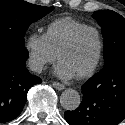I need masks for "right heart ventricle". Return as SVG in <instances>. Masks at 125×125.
<instances>
[{
  "mask_svg": "<svg viewBox=\"0 0 125 125\" xmlns=\"http://www.w3.org/2000/svg\"><path fill=\"white\" fill-rule=\"evenodd\" d=\"M87 26V24L72 18L62 17L52 21L46 28L45 38L51 50L57 54L60 47L77 30Z\"/></svg>",
  "mask_w": 125,
  "mask_h": 125,
  "instance_id": "right-heart-ventricle-1",
  "label": "right heart ventricle"
}]
</instances>
